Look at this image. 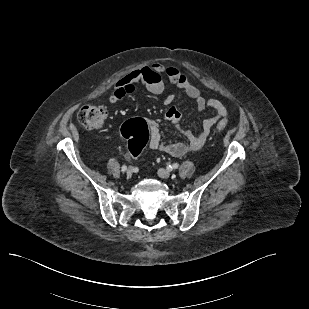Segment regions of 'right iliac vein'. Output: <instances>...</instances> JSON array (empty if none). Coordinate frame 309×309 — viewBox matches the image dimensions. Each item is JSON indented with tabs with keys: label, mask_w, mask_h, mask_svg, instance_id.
<instances>
[{
	"label": "right iliac vein",
	"mask_w": 309,
	"mask_h": 309,
	"mask_svg": "<svg viewBox=\"0 0 309 309\" xmlns=\"http://www.w3.org/2000/svg\"><path fill=\"white\" fill-rule=\"evenodd\" d=\"M132 173H133V168H132V167H129V168L127 169V171H126V175H127V176H130V175H132Z\"/></svg>",
	"instance_id": "obj_1"
}]
</instances>
